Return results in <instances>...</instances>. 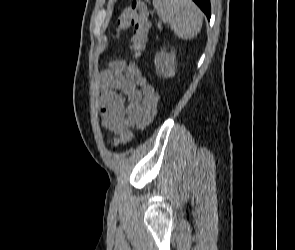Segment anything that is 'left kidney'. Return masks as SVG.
I'll list each match as a JSON object with an SVG mask.
<instances>
[{
  "label": "left kidney",
  "mask_w": 295,
  "mask_h": 250,
  "mask_svg": "<svg viewBox=\"0 0 295 250\" xmlns=\"http://www.w3.org/2000/svg\"><path fill=\"white\" fill-rule=\"evenodd\" d=\"M175 51L157 53L154 58V63L158 73L166 77H173L175 75Z\"/></svg>",
  "instance_id": "1"
}]
</instances>
